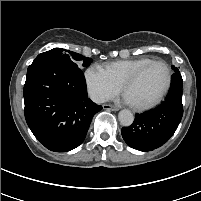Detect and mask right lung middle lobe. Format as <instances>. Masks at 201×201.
<instances>
[{
  "label": "right lung middle lobe",
  "instance_id": "right-lung-middle-lobe-1",
  "mask_svg": "<svg viewBox=\"0 0 201 201\" xmlns=\"http://www.w3.org/2000/svg\"><path fill=\"white\" fill-rule=\"evenodd\" d=\"M40 60H53L56 62H65L72 64L76 67L78 65L74 62V60H82L83 64L82 66L87 67L90 65L92 62V59L84 57L78 53L71 52V51H66L65 49L62 48H54L50 51L44 52L39 54L34 61H40Z\"/></svg>",
  "mask_w": 201,
  "mask_h": 201
}]
</instances>
